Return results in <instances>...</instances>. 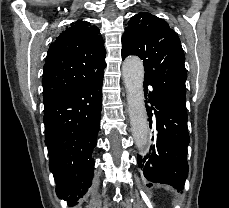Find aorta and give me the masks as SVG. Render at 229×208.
I'll return each mask as SVG.
<instances>
[{
    "label": "aorta",
    "mask_w": 229,
    "mask_h": 208,
    "mask_svg": "<svg viewBox=\"0 0 229 208\" xmlns=\"http://www.w3.org/2000/svg\"><path fill=\"white\" fill-rule=\"evenodd\" d=\"M122 73L134 141L139 150H145L149 141V126L143 92L144 67L140 58H126L122 65Z\"/></svg>",
    "instance_id": "aorta-1"
}]
</instances>
